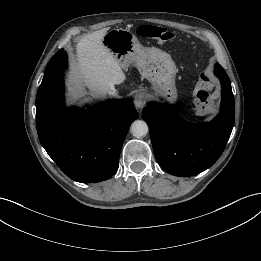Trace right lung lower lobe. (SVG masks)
<instances>
[{
  "label": "right lung lower lobe",
  "mask_w": 261,
  "mask_h": 261,
  "mask_svg": "<svg viewBox=\"0 0 261 261\" xmlns=\"http://www.w3.org/2000/svg\"><path fill=\"white\" fill-rule=\"evenodd\" d=\"M36 97V126L48 155L72 180L96 183L118 169L121 148L131 123L138 118L131 99H110L82 110L64 105V79Z\"/></svg>",
  "instance_id": "obj_1"
}]
</instances>
